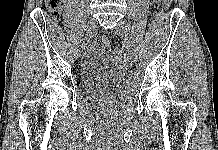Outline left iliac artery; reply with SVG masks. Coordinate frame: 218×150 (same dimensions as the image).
Returning <instances> with one entry per match:
<instances>
[{
	"label": "left iliac artery",
	"instance_id": "left-iliac-artery-1",
	"mask_svg": "<svg viewBox=\"0 0 218 150\" xmlns=\"http://www.w3.org/2000/svg\"><path fill=\"white\" fill-rule=\"evenodd\" d=\"M130 40L133 42L135 39L132 37ZM129 47H130V45L127 48H129Z\"/></svg>",
	"mask_w": 218,
	"mask_h": 150
}]
</instances>
